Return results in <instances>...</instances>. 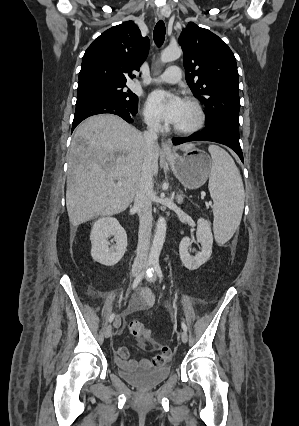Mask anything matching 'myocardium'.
<instances>
[{"label":"myocardium","mask_w":299,"mask_h":426,"mask_svg":"<svg viewBox=\"0 0 299 426\" xmlns=\"http://www.w3.org/2000/svg\"><path fill=\"white\" fill-rule=\"evenodd\" d=\"M185 103L191 105L195 109L196 119L194 123L189 127L180 128L174 126V131L178 134L188 135L193 134L203 128L206 122V114L203 106L197 99L189 97L185 99Z\"/></svg>","instance_id":"1"}]
</instances>
